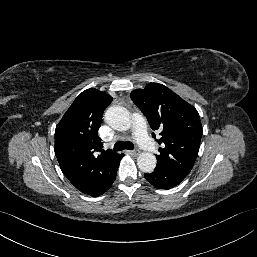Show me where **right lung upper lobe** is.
Wrapping results in <instances>:
<instances>
[{"label": "right lung upper lobe", "instance_id": "cb5924a9", "mask_svg": "<svg viewBox=\"0 0 257 257\" xmlns=\"http://www.w3.org/2000/svg\"><path fill=\"white\" fill-rule=\"evenodd\" d=\"M112 100L94 88L83 91L55 129V154L62 172L79 191L96 197L108 189L121 157L102 150L98 137L102 114Z\"/></svg>", "mask_w": 257, "mask_h": 257}]
</instances>
